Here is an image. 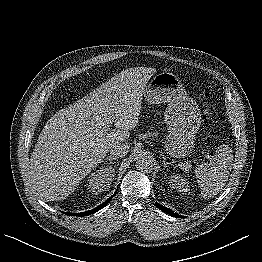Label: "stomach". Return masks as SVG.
<instances>
[{"label": "stomach", "mask_w": 262, "mask_h": 262, "mask_svg": "<svg viewBox=\"0 0 262 262\" xmlns=\"http://www.w3.org/2000/svg\"><path fill=\"white\" fill-rule=\"evenodd\" d=\"M144 97L150 104H167L165 150L174 157L187 156L194 147L201 113L197 103L187 95L179 77L171 72L155 75L146 86Z\"/></svg>", "instance_id": "stomach-1"}]
</instances>
